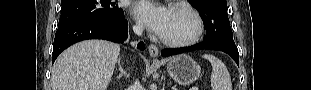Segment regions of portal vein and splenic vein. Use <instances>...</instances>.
Returning <instances> with one entry per match:
<instances>
[{
	"label": "portal vein and splenic vein",
	"instance_id": "1",
	"mask_svg": "<svg viewBox=\"0 0 311 90\" xmlns=\"http://www.w3.org/2000/svg\"><path fill=\"white\" fill-rule=\"evenodd\" d=\"M192 90H198V88H192Z\"/></svg>",
	"mask_w": 311,
	"mask_h": 90
}]
</instances>
